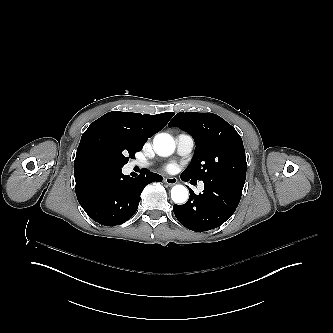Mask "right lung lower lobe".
<instances>
[{
    "label": "right lung lower lobe",
    "instance_id": "right-lung-lower-lobe-1",
    "mask_svg": "<svg viewBox=\"0 0 333 333\" xmlns=\"http://www.w3.org/2000/svg\"><path fill=\"white\" fill-rule=\"evenodd\" d=\"M74 176L80 205L89 217L105 226L119 225L131 218L138 208L143 188L163 179L146 169L131 178L123 175L121 168L89 156H76Z\"/></svg>",
    "mask_w": 333,
    "mask_h": 333
}]
</instances>
